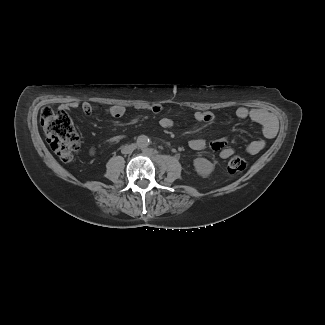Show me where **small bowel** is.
I'll use <instances>...</instances> for the list:
<instances>
[{
  "instance_id": "1",
  "label": "small bowel",
  "mask_w": 325,
  "mask_h": 325,
  "mask_svg": "<svg viewBox=\"0 0 325 325\" xmlns=\"http://www.w3.org/2000/svg\"><path fill=\"white\" fill-rule=\"evenodd\" d=\"M80 106L86 114H90L94 109L93 105L89 102H83L81 105L79 103L61 104L57 108L60 119L66 125V129L70 133H73L76 127L69 115L72 114L73 109ZM138 108L145 111H151L154 114H160L164 106L157 103L153 105H140ZM125 111V108L121 105H113L107 109V113L114 118H121L124 116ZM236 116L240 119L250 118L257 123L262 128L263 135L266 139L273 138L276 134L277 127L273 117L263 109H250L246 106H239L236 109ZM193 118L197 122L204 123H212L215 120L214 114L207 111H196L193 114ZM159 125L163 129H171L177 126V122L169 117H163L159 120ZM265 145L266 141L264 139H257L247 145L246 151L249 154H257L264 149ZM189 147L196 151H201L206 147H210L212 150L218 151L223 159L231 157L235 152L234 148L230 146L227 138H220L211 143H207L202 138H194L189 141ZM90 154L95 156L96 150L91 148Z\"/></svg>"
}]
</instances>
